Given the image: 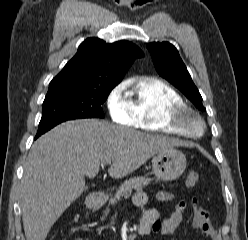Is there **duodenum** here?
Segmentation results:
<instances>
[{
  "label": "duodenum",
  "mask_w": 248,
  "mask_h": 240,
  "mask_svg": "<svg viewBox=\"0 0 248 240\" xmlns=\"http://www.w3.org/2000/svg\"><path fill=\"white\" fill-rule=\"evenodd\" d=\"M100 193L98 192H93L90 194L88 201H87V206L91 210H96L100 206ZM141 233L142 234H147L148 233V228L147 227H142L141 228Z\"/></svg>",
  "instance_id": "1"
}]
</instances>
